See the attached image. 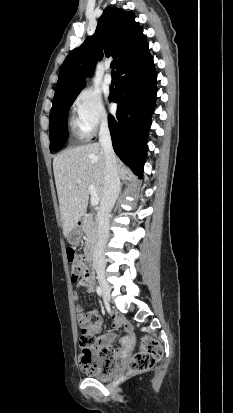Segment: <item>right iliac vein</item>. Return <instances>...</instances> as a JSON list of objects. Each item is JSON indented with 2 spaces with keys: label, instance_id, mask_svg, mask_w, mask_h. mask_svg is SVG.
Listing matches in <instances>:
<instances>
[{
  "label": "right iliac vein",
  "instance_id": "obj_1",
  "mask_svg": "<svg viewBox=\"0 0 233 413\" xmlns=\"http://www.w3.org/2000/svg\"><path fill=\"white\" fill-rule=\"evenodd\" d=\"M99 283L103 292V295L105 296L106 300H110V286L108 282L104 279L103 276L99 277Z\"/></svg>",
  "mask_w": 233,
  "mask_h": 413
}]
</instances>
